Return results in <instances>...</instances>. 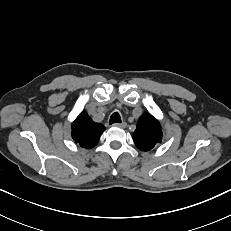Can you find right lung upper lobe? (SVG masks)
Listing matches in <instances>:
<instances>
[{"label":"right lung upper lobe","mask_w":231,"mask_h":231,"mask_svg":"<svg viewBox=\"0 0 231 231\" xmlns=\"http://www.w3.org/2000/svg\"><path fill=\"white\" fill-rule=\"evenodd\" d=\"M105 128L95 123L86 112H81L72 124V138L81 147L92 148L98 141Z\"/></svg>","instance_id":"obj_1"}]
</instances>
